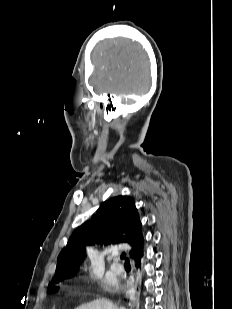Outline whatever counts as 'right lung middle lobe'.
I'll use <instances>...</instances> for the list:
<instances>
[{
	"label": "right lung middle lobe",
	"mask_w": 232,
	"mask_h": 309,
	"mask_svg": "<svg viewBox=\"0 0 232 309\" xmlns=\"http://www.w3.org/2000/svg\"><path fill=\"white\" fill-rule=\"evenodd\" d=\"M57 291V288L55 287L54 289H53V292H56Z\"/></svg>",
	"instance_id": "dd1d6c3e"
}]
</instances>
